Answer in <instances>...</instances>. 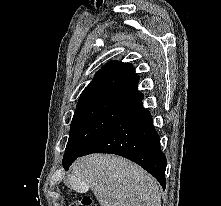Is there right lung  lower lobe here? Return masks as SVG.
I'll use <instances>...</instances> for the list:
<instances>
[{
	"label": "right lung lower lobe",
	"mask_w": 221,
	"mask_h": 206,
	"mask_svg": "<svg viewBox=\"0 0 221 206\" xmlns=\"http://www.w3.org/2000/svg\"><path fill=\"white\" fill-rule=\"evenodd\" d=\"M91 153H110L123 156L153 175L165 189L166 157L160 148V138L149 111L142 99L102 131L78 156ZM63 164L67 170L75 161Z\"/></svg>",
	"instance_id": "1"
}]
</instances>
